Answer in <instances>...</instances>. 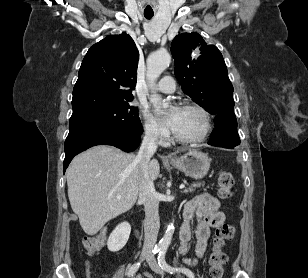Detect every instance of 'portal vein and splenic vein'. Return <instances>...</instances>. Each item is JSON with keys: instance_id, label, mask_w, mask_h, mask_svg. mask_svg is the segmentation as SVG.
<instances>
[{"instance_id": "obj_1", "label": "portal vein and splenic vein", "mask_w": 308, "mask_h": 278, "mask_svg": "<svg viewBox=\"0 0 308 278\" xmlns=\"http://www.w3.org/2000/svg\"><path fill=\"white\" fill-rule=\"evenodd\" d=\"M185 188V185L184 184H181L180 185V189H184ZM117 199H121V196H117Z\"/></svg>"}]
</instances>
